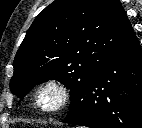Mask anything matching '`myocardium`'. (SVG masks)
<instances>
[{
	"label": "myocardium",
	"instance_id": "myocardium-1",
	"mask_svg": "<svg viewBox=\"0 0 142 128\" xmlns=\"http://www.w3.org/2000/svg\"><path fill=\"white\" fill-rule=\"evenodd\" d=\"M54 93L56 101L52 106L46 107L42 103L43 96L48 93ZM70 100V89L61 80L49 78L41 83L35 93V105L43 113L54 114L64 109Z\"/></svg>",
	"mask_w": 142,
	"mask_h": 128
}]
</instances>
